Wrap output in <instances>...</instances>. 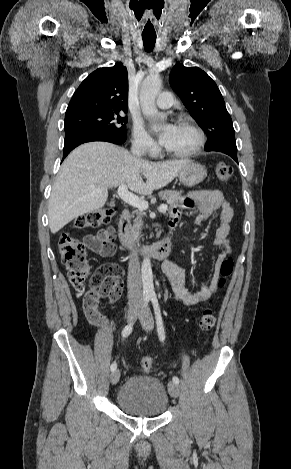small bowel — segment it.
<instances>
[{
  "instance_id": "small-bowel-1",
  "label": "small bowel",
  "mask_w": 291,
  "mask_h": 469,
  "mask_svg": "<svg viewBox=\"0 0 291 469\" xmlns=\"http://www.w3.org/2000/svg\"><path fill=\"white\" fill-rule=\"evenodd\" d=\"M192 209L197 210L195 223L198 225H201L211 215L218 212L219 225L216 229L214 244L221 249V252L215 263V269L211 280L208 283L201 285L197 291H190L186 287L185 271L177 263L174 261H167L163 264V273L171 284L175 299L184 305H196L204 302L216 292L221 263L231 254L229 234L230 223L233 218V209L225 199L224 195L219 190H201L192 192L184 199L181 207L174 208L172 210L169 222L170 227L174 228L177 226L183 210ZM113 236L114 233L111 228L101 230L98 234L86 238V240L90 241L88 247L102 256H110L113 254L109 251ZM121 291L113 298V300H117L119 298Z\"/></svg>"
}]
</instances>
